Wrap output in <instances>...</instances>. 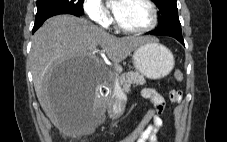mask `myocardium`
Wrapping results in <instances>:
<instances>
[{
    "instance_id": "1",
    "label": "myocardium",
    "mask_w": 227,
    "mask_h": 142,
    "mask_svg": "<svg viewBox=\"0 0 227 142\" xmlns=\"http://www.w3.org/2000/svg\"><path fill=\"white\" fill-rule=\"evenodd\" d=\"M143 1L147 4L150 11L149 23L142 28H128L122 25L114 14L113 23L117 30L126 34H144L151 31L156 26L158 22V10L155 3L152 0H143Z\"/></svg>"
}]
</instances>
